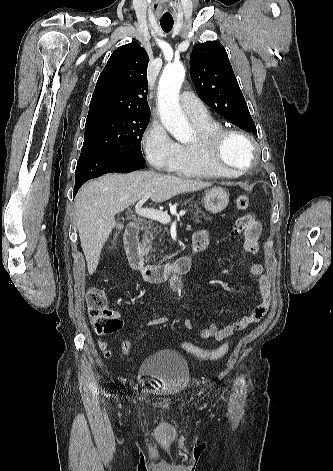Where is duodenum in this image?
Segmentation results:
<instances>
[{"label":"duodenum","mask_w":333,"mask_h":471,"mask_svg":"<svg viewBox=\"0 0 333 471\" xmlns=\"http://www.w3.org/2000/svg\"><path fill=\"white\" fill-rule=\"evenodd\" d=\"M139 222H131L124 234V245L130 266L141 273L145 281L159 283L175 274L187 273L191 270L194 257L193 254L185 255L173 263L165 265H153L145 263L143 253L139 244ZM203 247L193 245L194 252L201 251Z\"/></svg>","instance_id":"obj_1"}]
</instances>
